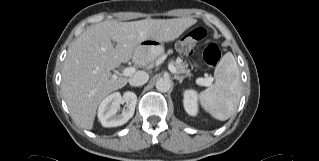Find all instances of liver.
I'll return each instance as SVG.
<instances>
[{
    "mask_svg": "<svg viewBox=\"0 0 319 161\" xmlns=\"http://www.w3.org/2000/svg\"><path fill=\"white\" fill-rule=\"evenodd\" d=\"M196 22L193 18L144 19L88 27L69 47L62 70L61 88L74 121L84 129L93 128L102 99L128 81L110 70L133 58L140 42L173 41Z\"/></svg>",
    "mask_w": 319,
    "mask_h": 161,
    "instance_id": "6515ba94",
    "label": "liver"
}]
</instances>
